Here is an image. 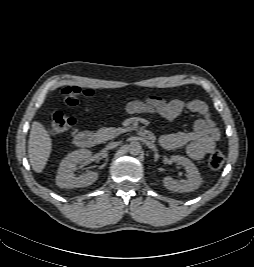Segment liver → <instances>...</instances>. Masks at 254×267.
I'll use <instances>...</instances> for the list:
<instances>
[{"mask_svg":"<svg viewBox=\"0 0 254 267\" xmlns=\"http://www.w3.org/2000/svg\"><path fill=\"white\" fill-rule=\"evenodd\" d=\"M52 150V140L45 127L34 122L30 130L28 141V155L32 169L36 173H41L50 157Z\"/></svg>","mask_w":254,"mask_h":267,"instance_id":"6515ba94","label":"liver"}]
</instances>
